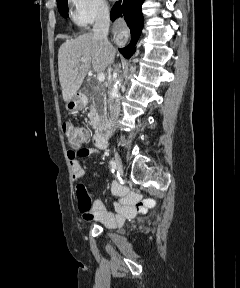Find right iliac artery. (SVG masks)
Listing matches in <instances>:
<instances>
[{
    "label": "right iliac artery",
    "instance_id": "obj_1",
    "mask_svg": "<svg viewBox=\"0 0 240 288\" xmlns=\"http://www.w3.org/2000/svg\"><path fill=\"white\" fill-rule=\"evenodd\" d=\"M109 164H110V168H111L112 173H114V171H115V163H114V161L111 160V161L109 162Z\"/></svg>",
    "mask_w": 240,
    "mask_h": 288
}]
</instances>
